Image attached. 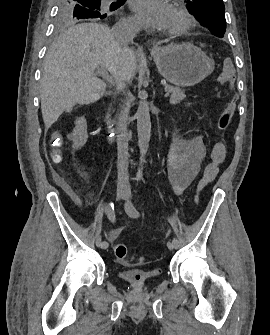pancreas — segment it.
Instances as JSON below:
<instances>
[{
	"instance_id": "pancreas-1",
	"label": "pancreas",
	"mask_w": 270,
	"mask_h": 335,
	"mask_svg": "<svg viewBox=\"0 0 270 335\" xmlns=\"http://www.w3.org/2000/svg\"><path fill=\"white\" fill-rule=\"evenodd\" d=\"M166 92H171L170 96V104H180L181 100L186 98L185 90H181V88H173V86H166Z\"/></svg>"
}]
</instances>
